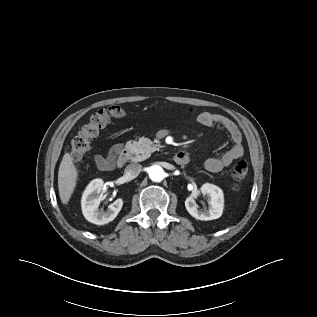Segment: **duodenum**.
I'll return each mask as SVG.
<instances>
[{
    "label": "duodenum",
    "instance_id": "obj_1",
    "mask_svg": "<svg viewBox=\"0 0 317 317\" xmlns=\"http://www.w3.org/2000/svg\"><path fill=\"white\" fill-rule=\"evenodd\" d=\"M129 159V152L126 149H122L117 158H113L107 161L105 171H111L116 168L122 167ZM174 161L179 164H185L188 161V154L184 151H179L174 155Z\"/></svg>",
    "mask_w": 317,
    "mask_h": 317
}]
</instances>
